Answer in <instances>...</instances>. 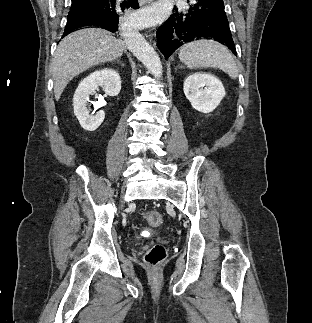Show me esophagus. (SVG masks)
<instances>
[{
	"label": "esophagus",
	"instance_id": "obj_1",
	"mask_svg": "<svg viewBox=\"0 0 312 323\" xmlns=\"http://www.w3.org/2000/svg\"><path fill=\"white\" fill-rule=\"evenodd\" d=\"M151 2H153V0H139V4L141 6L146 5L147 3H151Z\"/></svg>",
	"mask_w": 312,
	"mask_h": 323
}]
</instances>
